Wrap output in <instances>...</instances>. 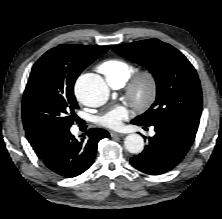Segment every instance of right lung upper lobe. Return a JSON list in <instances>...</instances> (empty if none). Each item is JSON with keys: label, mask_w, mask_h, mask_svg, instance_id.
Returning a JSON list of instances; mask_svg holds the SVG:
<instances>
[{"label": "right lung upper lobe", "mask_w": 222, "mask_h": 219, "mask_svg": "<svg viewBox=\"0 0 222 219\" xmlns=\"http://www.w3.org/2000/svg\"><path fill=\"white\" fill-rule=\"evenodd\" d=\"M109 47L107 46H86L75 44H62L50 50H60L67 55V62L64 66V79L67 84L74 86L76 78L86 68V64L102 56ZM26 136L33 149L40 155H44L53 142L62 133L24 124Z\"/></svg>", "instance_id": "cb5924a9"}]
</instances>
